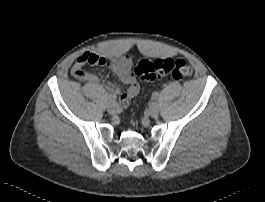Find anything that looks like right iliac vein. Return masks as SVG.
Instances as JSON below:
<instances>
[{
	"label": "right iliac vein",
	"mask_w": 265,
	"mask_h": 202,
	"mask_svg": "<svg viewBox=\"0 0 265 202\" xmlns=\"http://www.w3.org/2000/svg\"><path fill=\"white\" fill-rule=\"evenodd\" d=\"M118 104L116 102H110L107 106V111L110 114H115L118 111Z\"/></svg>",
	"instance_id": "right-iliac-vein-1"
}]
</instances>
